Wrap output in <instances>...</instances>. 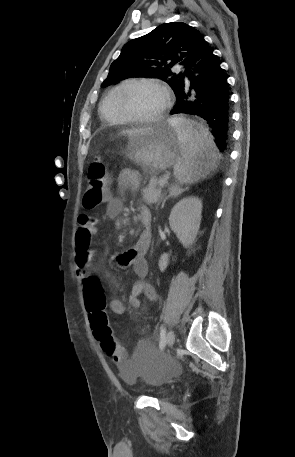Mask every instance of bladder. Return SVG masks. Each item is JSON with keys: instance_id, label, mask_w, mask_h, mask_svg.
Returning a JSON list of instances; mask_svg holds the SVG:
<instances>
[{"instance_id": "1", "label": "bladder", "mask_w": 295, "mask_h": 457, "mask_svg": "<svg viewBox=\"0 0 295 457\" xmlns=\"http://www.w3.org/2000/svg\"><path fill=\"white\" fill-rule=\"evenodd\" d=\"M155 348L152 345H136L135 354L127 356L126 361L118 364V372L120 378L127 384H135L142 380L147 385L159 387L165 379L169 383L176 381V372L174 360H169L168 352H154ZM153 396L164 399L169 396V393L159 390L153 393Z\"/></svg>"}]
</instances>
